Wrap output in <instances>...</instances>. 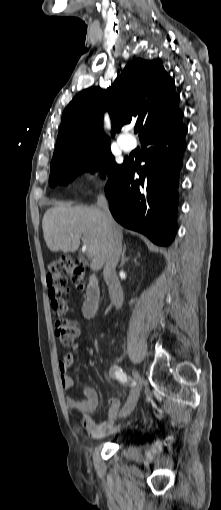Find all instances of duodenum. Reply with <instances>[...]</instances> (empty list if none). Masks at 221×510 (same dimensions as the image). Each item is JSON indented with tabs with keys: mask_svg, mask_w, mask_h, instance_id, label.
Instances as JSON below:
<instances>
[{
	"mask_svg": "<svg viewBox=\"0 0 221 510\" xmlns=\"http://www.w3.org/2000/svg\"><path fill=\"white\" fill-rule=\"evenodd\" d=\"M100 289L94 275H90L86 288L85 299L82 304V312L85 318H93L99 308Z\"/></svg>",
	"mask_w": 221,
	"mask_h": 510,
	"instance_id": "obj_1",
	"label": "duodenum"
}]
</instances>
